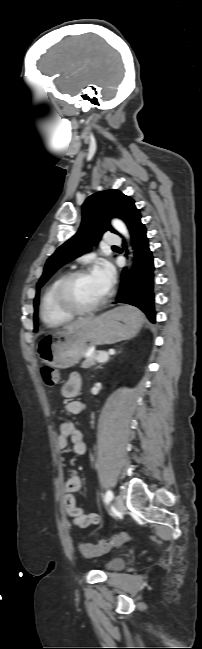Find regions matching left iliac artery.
<instances>
[{"label":"left iliac artery","instance_id":"44dca946","mask_svg":"<svg viewBox=\"0 0 202 649\" xmlns=\"http://www.w3.org/2000/svg\"><path fill=\"white\" fill-rule=\"evenodd\" d=\"M112 498H113V493H112L111 490H108V491L106 492V494H105V498H104L106 504H109V502L112 500Z\"/></svg>","mask_w":202,"mask_h":649}]
</instances>
